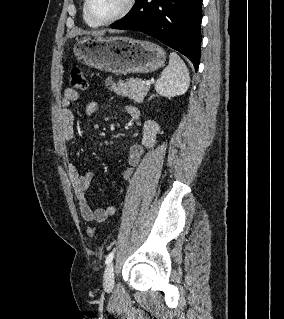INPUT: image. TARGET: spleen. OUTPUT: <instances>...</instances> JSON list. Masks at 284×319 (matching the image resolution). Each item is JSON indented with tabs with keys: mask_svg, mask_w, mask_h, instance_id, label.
Here are the masks:
<instances>
[{
	"mask_svg": "<svg viewBox=\"0 0 284 319\" xmlns=\"http://www.w3.org/2000/svg\"><path fill=\"white\" fill-rule=\"evenodd\" d=\"M190 84L188 69L183 60L175 53H170L169 65L162 71L155 83V90L164 97L184 94Z\"/></svg>",
	"mask_w": 284,
	"mask_h": 319,
	"instance_id": "spleen-1",
	"label": "spleen"
}]
</instances>
